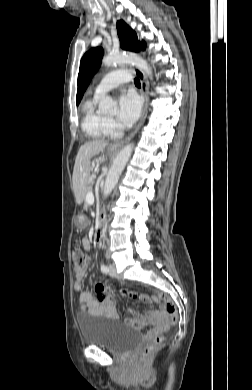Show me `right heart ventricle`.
<instances>
[{"label": "right heart ventricle", "mask_w": 252, "mask_h": 390, "mask_svg": "<svg viewBox=\"0 0 252 390\" xmlns=\"http://www.w3.org/2000/svg\"><path fill=\"white\" fill-rule=\"evenodd\" d=\"M82 129L93 140H102L111 135L107 128V118L96 109V99L84 103Z\"/></svg>", "instance_id": "1"}]
</instances>
